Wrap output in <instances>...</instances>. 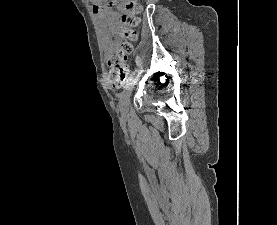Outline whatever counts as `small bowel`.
I'll return each instance as SVG.
<instances>
[{
  "label": "small bowel",
  "mask_w": 277,
  "mask_h": 225,
  "mask_svg": "<svg viewBox=\"0 0 277 225\" xmlns=\"http://www.w3.org/2000/svg\"><path fill=\"white\" fill-rule=\"evenodd\" d=\"M124 7L125 2L119 4L120 9H123ZM93 10L96 17L102 22V26L110 29L115 35V40L118 41L120 39L119 26L117 25L118 12L111 10L107 6H103L102 4H94ZM112 89L116 90L117 87L113 86Z\"/></svg>",
  "instance_id": "obj_1"
}]
</instances>
